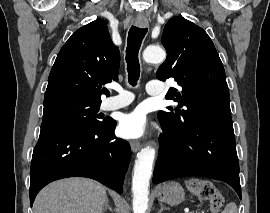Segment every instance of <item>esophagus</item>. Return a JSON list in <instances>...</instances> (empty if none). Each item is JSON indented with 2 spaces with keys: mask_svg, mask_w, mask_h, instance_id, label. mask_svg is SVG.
I'll return each instance as SVG.
<instances>
[{
  "mask_svg": "<svg viewBox=\"0 0 270 213\" xmlns=\"http://www.w3.org/2000/svg\"><path fill=\"white\" fill-rule=\"evenodd\" d=\"M135 25L139 28H147L149 23L146 18L138 17L135 19ZM130 146L133 152H137L141 148V144L138 141H132Z\"/></svg>",
  "mask_w": 270,
  "mask_h": 213,
  "instance_id": "esophagus-1",
  "label": "esophagus"
}]
</instances>
